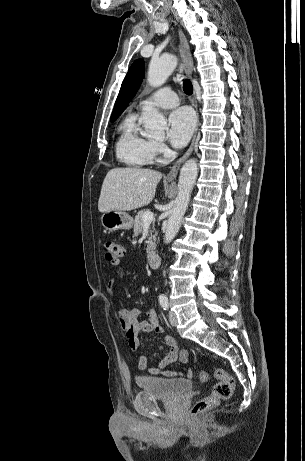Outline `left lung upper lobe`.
I'll return each instance as SVG.
<instances>
[{"label":"left lung upper lobe","mask_w":305,"mask_h":461,"mask_svg":"<svg viewBox=\"0 0 305 461\" xmlns=\"http://www.w3.org/2000/svg\"><path fill=\"white\" fill-rule=\"evenodd\" d=\"M144 74V62L141 59H137L131 65L126 74L121 89L119 91L115 107L111 115V121L113 122L120 114L125 110L128 103L136 94L140 87Z\"/></svg>","instance_id":"left-lung-upper-lobe-1"}]
</instances>
